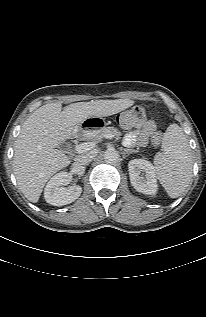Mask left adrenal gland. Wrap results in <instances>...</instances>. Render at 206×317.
<instances>
[{
  "instance_id": "a2214340",
  "label": "left adrenal gland",
  "mask_w": 206,
  "mask_h": 317,
  "mask_svg": "<svg viewBox=\"0 0 206 317\" xmlns=\"http://www.w3.org/2000/svg\"><path fill=\"white\" fill-rule=\"evenodd\" d=\"M136 152H138V151L132 150V149H123L124 154H132V153H136Z\"/></svg>"
}]
</instances>
